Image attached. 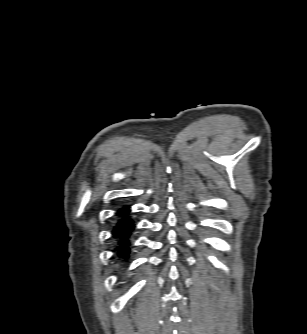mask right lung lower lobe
Returning a JSON list of instances; mask_svg holds the SVG:
<instances>
[{"label": "right lung lower lobe", "mask_w": 307, "mask_h": 334, "mask_svg": "<svg viewBox=\"0 0 307 334\" xmlns=\"http://www.w3.org/2000/svg\"><path fill=\"white\" fill-rule=\"evenodd\" d=\"M128 206L119 209L112 228L115 256L117 260L124 261L131 250V236L135 229V222L129 216Z\"/></svg>", "instance_id": "1"}]
</instances>
